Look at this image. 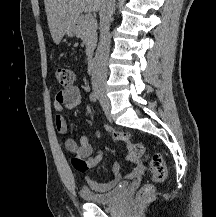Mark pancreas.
<instances>
[{
    "instance_id": "1",
    "label": "pancreas",
    "mask_w": 216,
    "mask_h": 217,
    "mask_svg": "<svg viewBox=\"0 0 216 217\" xmlns=\"http://www.w3.org/2000/svg\"><path fill=\"white\" fill-rule=\"evenodd\" d=\"M97 22L81 16L77 21L76 36L86 45V55L91 57L97 41Z\"/></svg>"
}]
</instances>
